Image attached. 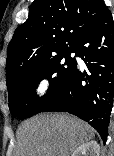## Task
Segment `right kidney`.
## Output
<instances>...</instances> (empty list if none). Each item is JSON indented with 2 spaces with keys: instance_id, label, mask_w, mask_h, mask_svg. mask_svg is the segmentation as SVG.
<instances>
[{
  "instance_id": "right-kidney-1",
  "label": "right kidney",
  "mask_w": 114,
  "mask_h": 156,
  "mask_svg": "<svg viewBox=\"0 0 114 156\" xmlns=\"http://www.w3.org/2000/svg\"><path fill=\"white\" fill-rule=\"evenodd\" d=\"M99 153V144L92 140L80 145L71 156H99Z\"/></svg>"
}]
</instances>
